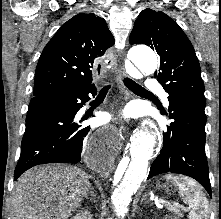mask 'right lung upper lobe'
I'll use <instances>...</instances> for the list:
<instances>
[{
    "label": "right lung upper lobe",
    "mask_w": 221,
    "mask_h": 219,
    "mask_svg": "<svg viewBox=\"0 0 221 219\" xmlns=\"http://www.w3.org/2000/svg\"><path fill=\"white\" fill-rule=\"evenodd\" d=\"M114 37L103 18L78 14L64 23L45 46L37 64L34 97L92 84Z\"/></svg>",
    "instance_id": "right-lung-upper-lobe-1"
}]
</instances>
